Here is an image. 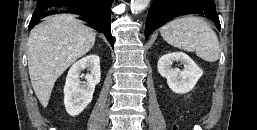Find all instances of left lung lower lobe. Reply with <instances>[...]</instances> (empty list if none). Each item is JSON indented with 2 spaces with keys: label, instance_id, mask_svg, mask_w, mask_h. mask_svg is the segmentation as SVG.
Segmentation results:
<instances>
[{
  "label": "left lung lower lobe",
  "instance_id": "obj_1",
  "mask_svg": "<svg viewBox=\"0 0 257 130\" xmlns=\"http://www.w3.org/2000/svg\"><path fill=\"white\" fill-rule=\"evenodd\" d=\"M187 14H200L214 21L220 30V21L214 0H154L145 26V38L158 27L175 17Z\"/></svg>",
  "mask_w": 257,
  "mask_h": 130
}]
</instances>
